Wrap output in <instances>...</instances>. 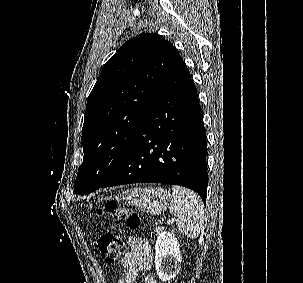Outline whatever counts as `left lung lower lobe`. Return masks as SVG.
<instances>
[{"label":"left lung lower lobe","instance_id":"1","mask_svg":"<svg viewBox=\"0 0 303 283\" xmlns=\"http://www.w3.org/2000/svg\"><path fill=\"white\" fill-rule=\"evenodd\" d=\"M206 153V131L197 90L179 55L163 78L117 170L99 188L140 182L175 184L196 191L205 204Z\"/></svg>","mask_w":303,"mask_h":283}]
</instances>
